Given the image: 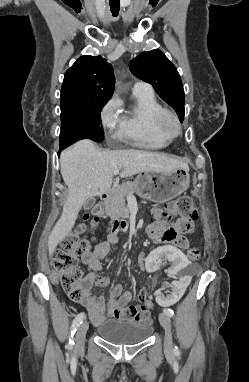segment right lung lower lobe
<instances>
[{
    "label": "right lung lower lobe",
    "mask_w": 249,
    "mask_h": 382,
    "mask_svg": "<svg viewBox=\"0 0 249 382\" xmlns=\"http://www.w3.org/2000/svg\"><path fill=\"white\" fill-rule=\"evenodd\" d=\"M63 149H64V148L60 147V151H61V150H63ZM60 151H59V153H58V154H60Z\"/></svg>",
    "instance_id": "1"
}]
</instances>
